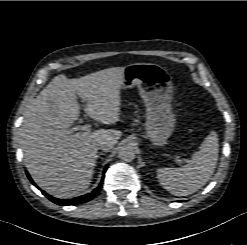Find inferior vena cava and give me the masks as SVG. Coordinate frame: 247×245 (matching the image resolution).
I'll return each mask as SVG.
<instances>
[{
    "instance_id": "inferior-vena-cava-1",
    "label": "inferior vena cava",
    "mask_w": 247,
    "mask_h": 245,
    "mask_svg": "<svg viewBox=\"0 0 247 245\" xmlns=\"http://www.w3.org/2000/svg\"><path fill=\"white\" fill-rule=\"evenodd\" d=\"M111 148V143L110 142H106V141H103L99 144V149L101 150H104V151H107Z\"/></svg>"
}]
</instances>
